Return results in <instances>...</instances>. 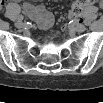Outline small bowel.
Masks as SVG:
<instances>
[{"label": "small bowel", "instance_id": "small-bowel-1", "mask_svg": "<svg viewBox=\"0 0 103 103\" xmlns=\"http://www.w3.org/2000/svg\"><path fill=\"white\" fill-rule=\"evenodd\" d=\"M1 4L4 5V2ZM23 9L30 18L37 22L41 29H47L52 26L54 17L44 7L25 2L23 4Z\"/></svg>", "mask_w": 103, "mask_h": 103}]
</instances>
